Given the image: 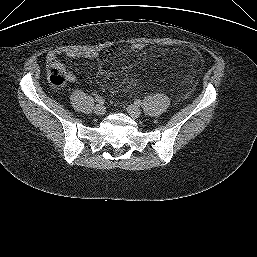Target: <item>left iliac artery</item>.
<instances>
[{
    "mask_svg": "<svg viewBox=\"0 0 257 257\" xmlns=\"http://www.w3.org/2000/svg\"><path fill=\"white\" fill-rule=\"evenodd\" d=\"M134 104H135L136 106H140V105L142 104V102H141L140 99H136V100L134 101Z\"/></svg>",
    "mask_w": 257,
    "mask_h": 257,
    "instance_id": "left-iliac-artery-1",
    "label": "left iliac artery"
}]
</instances>
